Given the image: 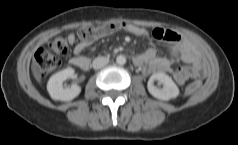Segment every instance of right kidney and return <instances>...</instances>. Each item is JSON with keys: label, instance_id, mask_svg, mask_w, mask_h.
I'll use <instances>...</instances> for the list:
<instances>
[{"label": "right kidney", "instance_id": "right-kidney-1", "mask_svg": "<svg viewBox=\"0 0 238 145\" xmlns=\"http://www.w3.org/2000/svg\"><path fill=\"white\" fill-rule=\"evenodd\" d=\"M75 70L73 68H66L52 75L47 84V90L54 100L70 101L77 97L81 92V87L72 85L71 87H64L63 83L69 78H74Z\"/></svg>", "mask_w": 238, "mask_h": 145}]
</instances>
